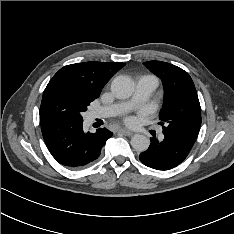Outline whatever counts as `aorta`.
Masks as SVG:
<instances>
[{"instance_id":"762f6f07","label":"aorta","mask_w":234,"mask_h":234,"mask_svg":"<svg viewBox=\"0 0 234 234\" xmlns=\"http://www.w3.org/2000/svg\"><path fill=\"white\" fill-rule=\"evenodd\" d=\"M111 91L118 99L129 98L134 92V82L127 76H118L111 83ZM132 147L140 152L146 151L150 145L149 138L142 134H135L131 138Z\"/></svg>"}]
</instances>
